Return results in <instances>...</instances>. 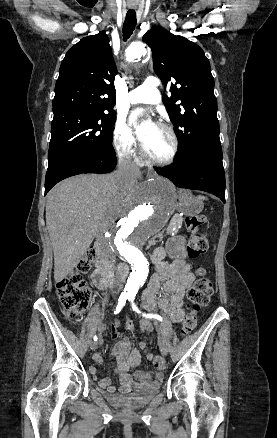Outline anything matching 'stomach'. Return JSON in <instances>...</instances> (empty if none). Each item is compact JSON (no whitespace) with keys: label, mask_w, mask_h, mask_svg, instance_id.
I'll return each instance as SVG.
<instances>
[{"label":"stomach","mask_w":277,"mask_h":438,"mask_svg":"<svg viewBox=\"0 0 277 438\" xmlns=\"http://www.w3.org/2000/svg\"><path fill=\"white\" fill-rule=\"evenodd\" d=\"M203 209L200 198L194 197L189 191H181L179 194L178 210L187 216L198 215ZM173 245L171 255L174 257L182 248V240L175 238L170 242Z\"/></svg>","instance_id":"0dacf381"}]
</instances>
